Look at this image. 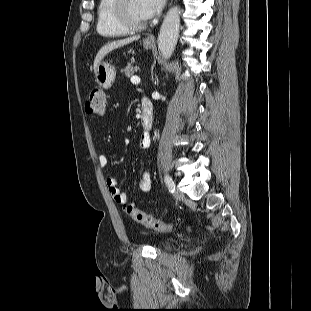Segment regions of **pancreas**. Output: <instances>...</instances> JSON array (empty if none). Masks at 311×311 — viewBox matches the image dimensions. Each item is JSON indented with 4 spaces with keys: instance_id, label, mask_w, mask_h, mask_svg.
<instances>
[{
    "instance_id": "obj_1",
    "label": "pancreas",
    "mask_w": 311,
    "mask_h": 311,
    "mask_svg": "<svg viewBox=\"0 0 311 311\" xmlns=\"http://www.w3.org/2000/svg\"><path fill=\"white\" fill-rule=\"evenodd\" d=\"M138 67L137 66H133L131 64H129L128 66H126L122 72H124V74L128 77H130L132 74H134L135 72H137Z\"/></svg>"
}]
</instances>
